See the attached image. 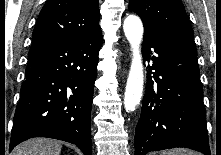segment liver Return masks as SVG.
I'll return each instance as SVG.
<instances>
[{
  "label": "liver",
  "instance_id": "1",
  "mask_svg": "<svg viewBox=\"0 0 221 155\" xmlns=\"http://www.w3.org/2000/svg\"><path fill=\"white\" fill-rule=\"evenodd\" d=\"M61 144L59 141L47 138L29 139L16 148L13 155H60Z\"/></svg>",
  "mask_w": 221,
  "mask_h": 155
}]
</instances>
